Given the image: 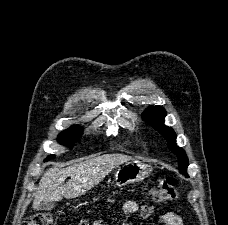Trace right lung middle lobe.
Listing matches in <instances>:
<instances>
[{"label": "right lung middle lobe", "instance_id": "dd1d6c3e", "mask_svg": "<svg viewBox=\"0 0 228 225\" xmlns=\"http://www.w3.org/2000/svg\"><path fill=\"white\" fill-rule=\"evenodd\" d=\"M81 135H82V128L73 125L70 128L61 132V134L58 136V142L60 144L71 147L81 137ZM54 157L55 155H50L45 159V161H48Z\"/></svg>", "mask_w": 228, "mask_h": 225}]
</instances>
